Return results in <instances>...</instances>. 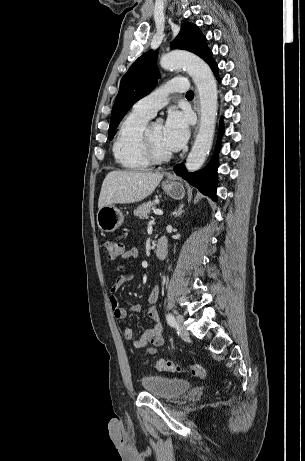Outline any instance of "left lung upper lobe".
Returning a JSON list of instances; mask_svg holds the SVG:
<instances>
[{"label":"left lung upper lobe","mask_w":305,"mask_h":461,"mask_svg":"<svg viewBox=\"0 0 305 461\" xmlns=\"http://www.w3.org/2000/svg\"><path fill=\"white\" fill-rule=\"evenodd\" d=\"M171 48L193 52L207 63L213 59L206 38L196 25L189 22L182 24L180 33L171 43ZM156 56L157 53L152 50L146 52L132 64L123 76L111 113L108 131L110 140L114 137L118 124L132 105L148 95L155 87L159 75Z\"/></svg>","instance_id":"left-lung-upper-lobe-1"}]
</instances>
